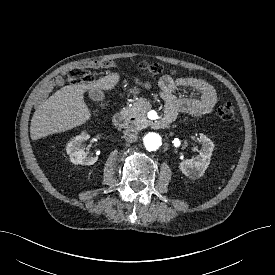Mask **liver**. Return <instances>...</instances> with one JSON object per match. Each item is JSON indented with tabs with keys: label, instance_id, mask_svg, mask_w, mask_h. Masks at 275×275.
<instances>
[{
	"label": "liver",
	"instance_id": "liver-1",
	"mask_svg": "<svg viewBox=\"0 0 275 275\" xmlns=\"http://www.w3.org/2000/svg\"><path fill=\"white\" fill-rule=\"evenodd\" d=\"M119 79L118 73H111L89 84H71L56 91L34 112L31 138L37 140L86 123L91 111L84 101V93L91 89L112 90Z\"/></svg>",
	"mask_w": 275,
	"mask_h": 275
}]
</instances>
